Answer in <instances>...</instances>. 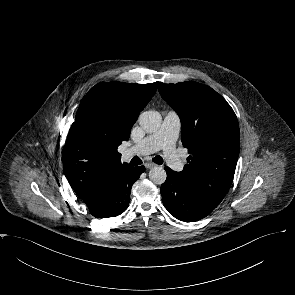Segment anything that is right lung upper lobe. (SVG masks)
Returning a JSON list of instances; mask_svg holds the SVG:
<instances>
[{"mask_svg":"<svg viewBox=\"0 0 295 295\" xmlns=\"http://www.w3.org/2000/svg\"><path fill=\"white\" fill-rule=\"evenodd\" d=\"M105 84L112 89L120 115L118 121L89 125L80 105L64 146V174L80 198L97 179L129 166L121 163L117 148L122 141L129 139L130 129L158 86V82Z\"/></svg>","mask_w":295,"mask_h":295,"instance_id":"right-lung-upper-lobe-1","label":"right lung upper lobe"}]
</instances>
